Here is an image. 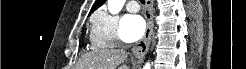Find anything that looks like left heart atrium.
Wrapping results in <instances>:
<instances>
[{
  "label": "left heart atrium",
  "mask_w": 246,
  "mask_h": 69,
  "mask_svg": "<svg viewBox=\"0 0 246 69\" xmlns=\"http://www.w3.org/2000/svg\"><path fill=\"white\" fill-rule=\"evenodd\" d=\"M145 32V22L139 15L129 14L124 16L120 28L121 39L126 43L139 40Z\"/></svg>",
  "instance_id": "left-heart-atrium-1"
}]
</instances>
